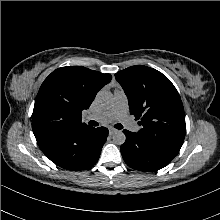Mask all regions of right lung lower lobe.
Masks as SVG:
<instances>
[{"instance_id": "right-lung-lower-lobe-1", "label": "right lung lower lobe", "mask_w": 220, "mask_h": 220, "mask_svg": "<svg viewBox=\"0 0 220 220\" xmlns=\"http://www.w3.org/2000/svg\"><path fill=\"white\" fill-rule=\"evenodd\" d=\"M107 136V128L89 127L37 142L56 165L68 170H84L96 164Z\"/></svg>"}]
</instances>
